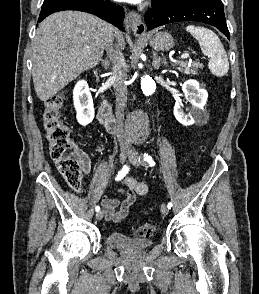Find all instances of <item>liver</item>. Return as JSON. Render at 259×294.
<instances>
[{"label":"liver","instance_id":"1","mask_svg":"<svg viewBox=\"0 0 259 294\" xmlns=\"http://www.w3.org/2000/svg\"><path fill=\"white\" fill-rule=\"evenodd\" d=\"M123 34L106 21L79 11L48 16L38 26L32 54V78L38 98L45 102L82 72L100 62L106 45Z\"/></svg>","mask_w":259,"mask_h":294}]
</instances>
